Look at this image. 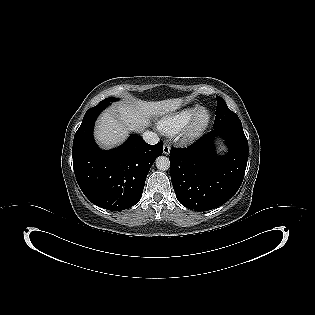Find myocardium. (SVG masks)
Instances as JSON below:
<instances>
[{"instance_id": "myocardium-1", "label": "myocardium", "mask_w": 315, "mask_h": 315, "mask_svg": "<svg viewBox=\"0 0 315 315\" xmlns=\"http://www.w3.org/2000/svg\"><path fill=\"white\" fill-rule=\"evenodd\" d=\"M210 123L211 112L205 107H200L182 130L181 143L188 145L199 140L208 129Z\"/></svg>"}]
</instances>
